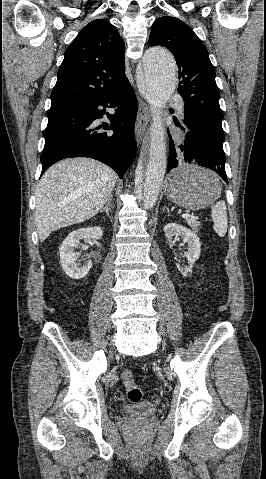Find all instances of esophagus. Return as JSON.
<instances>
[{
    "label": "esophagus",
    "instance_id": "esophagus-1",
    "mask_svg": "<svg viewBox=\"0 0 266 479\" xmlns=\"http://www.w3.org/2000/svg\"><path fill=\"white\" fill-rule=\"evenodd\" d=\"M149 118V111L147 105L140 100L136 118V125H135V136L137 144L139 145L143 139L144 133L147 128Z\"/></svg>",
    "mask_w": 266,
    "mask_h": 479
}]
</instances>
